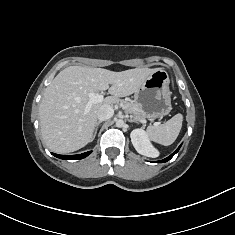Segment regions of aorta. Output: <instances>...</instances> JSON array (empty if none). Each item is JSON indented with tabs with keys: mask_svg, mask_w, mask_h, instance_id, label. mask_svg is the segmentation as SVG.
I'll use <instances>...</instances> for the list:
<instances>
[{
	"mask_svg": "<svg viewBox=\"0 0 235 235\" xmlns=\"http://www.w3.org/2000/svg\"><path fill=\"white\" fill-rule=\"evenodd\" d=\"M123 125H124V121H123L122 119L116 120V126H117L118 128L123 127Z\"/></svg>",
	"mask_w": 235,
	"mask_h": 235,
	"instance_id": "aorta-1",
	"label": "aorta"
}]
</instances>
